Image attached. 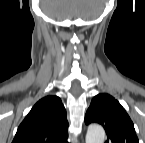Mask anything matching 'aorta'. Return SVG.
<instances>
[{"instance_id":"762f6f07","label":"aorta","mask_w":145,"mask_h":143,"mask_svg":"<svg viewBox=\"0 0 145 143\" xmlns=\"http://www.w3.org/2000/svg\"><path fill=\"white\" fill-rule=\"evenodd\" d=\"M105 140V131L100 125H90L86 134V143H103Z\"/></svg>"}]
</instances>
